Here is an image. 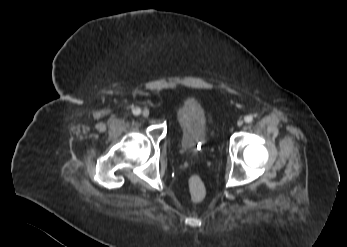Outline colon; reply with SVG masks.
Returning a JSON list of instances; mask_svg holds the SVG:
<instances>
[{
	"instance_id": "obj_1",
	"label": "colon",
	"mask_w": 347,
	"mask_h": 247,
	"mask_svg": "<svg viewBox=\"0 0 347 247\" xmlns=\"http://www.w3.org/2000/svg\"><path fill=\"white\" fill-rule=\"evenodd\" d=\"M189 195L195 202L202 201L206 196V188L199 176H193L189 180Z\"/></svg>"
}]
</instances>
